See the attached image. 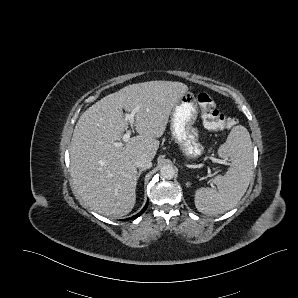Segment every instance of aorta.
Segmentation results:
<instances>
[{"label":"aorta","mask_w":298,"mask_h":298,"mask_svg":"<svg viewBox=\"0 0 298 298\" xmlns=\"http://www.w3.org/2000/svg\"><path fill=\"white\" fill-rule=\"evenodd\" d=\"M160 175L167 180L173 179L175 176V168L172 165L165 164L160 168Z\"/></svg>","instance_id":"aorta-1"}]
</instances>
